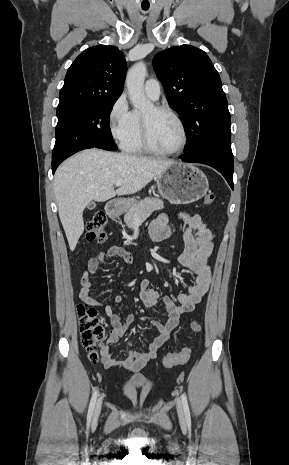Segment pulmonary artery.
<instances>
[{
	"label": "pulmonary artery",
	"instance_id": "obj_1",
	"mask_svg": "<svg viewBox=\"0 0 289 465\" xmlns=\"http://www.w3.org/2000/svg\"><path fill=\"white\" fill-rule=\"evenodd\" d=\"M144 90L147 96L151 99H158L161 93L159 81L156 79H148L144 84Z\"/></svg>",
	"mask_w": 289,
	"mask_h": 465
}]
</instances>
